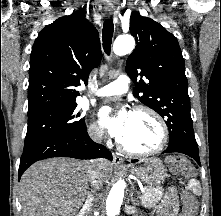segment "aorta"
<instances>
[{"instance_id":"obj_1","label":"aorta","mask_w":221,"mask_h":216,"mask_svg":"<svg viewBox=\"0 0 221 216\" xmlns=\"http://www.w3.org/2000/svg\"><path fill=\"white\" fill-rule=\"evenodd\" d=\"M135 47V40L131 35H120L116 38L113 51L118 56L129 54ZM125 192V182L119 180L116 182L106 200V213L107 216H116L120 212V207L123 202Z\"/></svg>"}]
</instances>
